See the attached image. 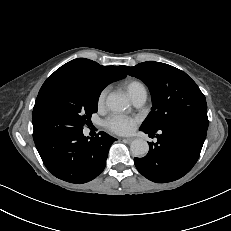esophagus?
Segmentation results:
<instances>
[{"mask_svg": "<svg viewBox=\"0 0 231 231\" xmlns=\"http://www.w3.org/2000/svg\"><path fill=\"white\" fill-rule=\"evenodd\" d=\"M133 140H134V138H132V137L123 139V141H126L128 143L132 142Z\"/></svg>", "mask_w": 231, "mask_h": 231, "instance_id": "34e87169", "label": "esophagus"}]
</instances>
